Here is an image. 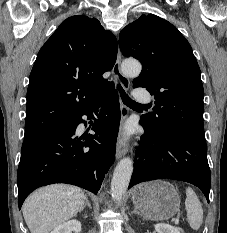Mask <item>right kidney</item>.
Instances as JSON below:
<instances>
[{"label": "right kidney", "instance_id": "obj_1", "mask_svg": "<svg viewBox=\"0 0 227 233\" xmlns=\"http://www.w3.org/2000/svg\"><path fill=\"white\" fill-rule=\"evenodd\" d=\"M80 231L81 222L78 220H70L54 228L51 233H80Z\"/></svg>", "mask_w": 227, "mask_h": 233}]
</instances>
